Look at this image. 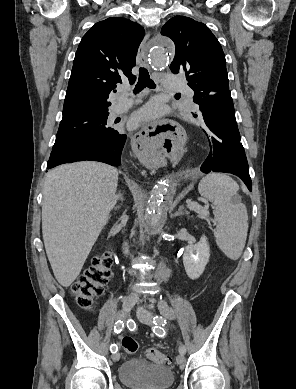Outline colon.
Wrapping results in <instances>:
<instances>
[{"instance_id": "1", "label": "colon", "mask_w": 296, "mask_h": 389, "mask_svg": "<svg viewBox=\"0 0 296 389\" xmlns=\"http://www.w3.org/2000/svg\"><path fill=\"white\" fill-rule=\"evenodd\" d=\"M111 267L110 253H100L93 258L90 267L72 283L70 292L81 308L87 310L92 308L94 300L102 294L111 278ZM121 346L129 354H135L139 349L137 341L130 336L122 338ZM146 357L159 364H169L171 361L169 355L156 348L148 349Z\"/></svg>"}]
</instances>
